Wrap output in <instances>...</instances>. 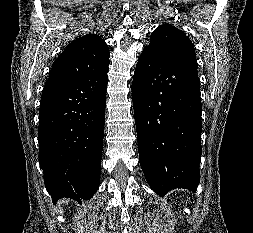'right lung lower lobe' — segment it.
<instances>
[{
	"label": "right lung lower lobe",
	"instance_id": "98d812e1",
	"mask_svg": "<svg viewBox=\"0 0 253 233\" xmlns=\"http://www.w3.org/2000/svg\"><path fill=\"white\" fill-rule=\"evenodd\" d=\"M108 69L48 79L39 110V163L53 202L81 204L99 186Z\"/></svg>",
	"mask_w": 253,
	"mask_h": 233
}]
</instances>
